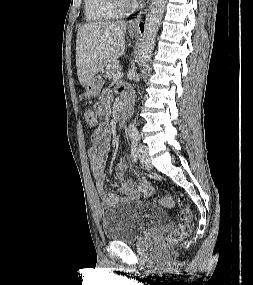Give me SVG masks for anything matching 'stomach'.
Masks as SVG:
<instances>
[{
  "label": "stomach",
  "mask_w": 253,
  "mask_h": 285,
  "mask_svg": "<svg viewBox=\"0 0 253 285\" xmlns=\"http://www.w3.org/2000/svg\"><path fill=\"white\" fill-rule=\"evenodd\" d=\"M132 37L135 36L134 33L130 32ZM103 86V80L100 76H94L84 87L85 91L83 96L87 99L94 98L99 95L101 88Z\"/></svg>",
  "instance_id": "0dacf381"
}]
</instances>
